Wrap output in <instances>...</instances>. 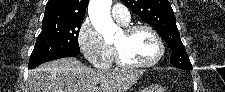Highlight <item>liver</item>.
Segmentation results:
<instances>
[{"mask_svg":"<svg viewBox=\"0 0 225 92\" xmlns=\"http://www.w3.org/2000/svg\"><path fill=\"white\" fill-rule=\"evenodd\" d=\"M143 70L91 69L76 58H63L29 72L26 92H126Z\"/></svg>","mask_w":225,"mask_h":92,"instance_id":"1","label":"liver"}]
</instances>
